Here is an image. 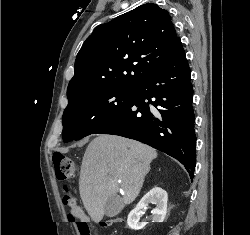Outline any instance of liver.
Returning a JSON list of instances; mask_svg holds the SVG:
<instances>
[{
	"instance_id": "obj_1",
	"label": "liver",
	"mask_w": 250,
	"mask_h": 235,
	"mask_svg": "<svg viewBox=\"0 0 250 235\" xmlns=\"http://www.w3.org/2000/svg\"><path fill=\"white\" fill-rule=\"evenodd\" d=\"M157 152L140 142L116 135L101 134L92 140L83 157L79 192L83 205L94 222L105 214L109 197L124 205L139 195L150 163ZM119 188L123 196H117Z\"/></svg>"
}]
</instances>
